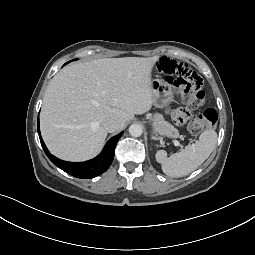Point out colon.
<instances>
[{
    "mask_svg": "<svg viewBox=\"0 0 255 255\" xmlns=\"http://www.w3.org/2000/svg\"><path fill=\"white\" fill-rule=\"evenodd\" d=\"M157 68L167 76L170 83L182 88L183 100L189 107H198L203 103V80L187 63L163 57L159 60ZM217 120V112L207 108L189 123V130L193 134H199L204 129L213 127Z\"/></svg>",
    "mask_w": 255,
    "mask_h": 255,
    "instance_id": "obj_1",
    "label": "colon"
}]
</instances>
